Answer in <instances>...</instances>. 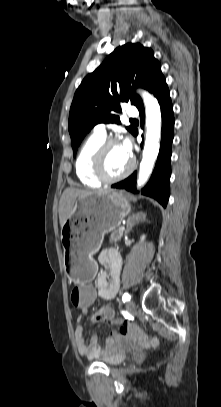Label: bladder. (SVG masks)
Listing matches in <instances>:
<instances>
[{
	"mask_svg": "<svg viewBox=\"0 0 221 407\" xmlns=\"http://www.w3.org/2000/svg\"><path fill=\"white\" fill-rule=\"evenodd\" d=\"M126 359V355L119 350H114L111 353L104 354L101 358V362L108 366H118L122 364Z\"/></svg>",
	"mask_w": 221,
	"mask_h": 407,
	"instance_id": "obj_1",
	"label": "bladder"
}]
</instances>
